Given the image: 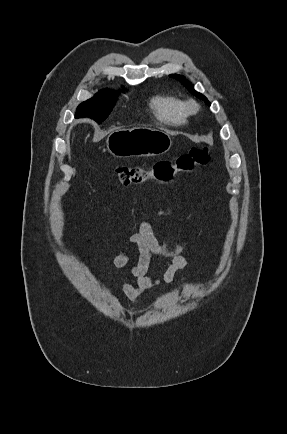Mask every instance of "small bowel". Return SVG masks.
<instances>
[{"label":"small bowel","mask_w":287,"mask_h":434,"mask_svg":"<svg viewBox=\"0 0 287 434\" xmlns=\"http://www.w3.org/2000/svg\"><path fill=\"white\" fill-rule=\"evenodd\" d=\"M160 217H171L178 214L172 206H154ZM131 250H137L139 257L136 262L131 261V252H124L112 259L111 264L116 269H124L123 292L130 301H135L146 290L171 283L176 275L186 266L184 251L188 240L183 239L177 243H159L151 233L149 223L142 221L138 224V231H128ZM165 257L171 259V264L162 277L154 278L146 275L148 264L152 257Z\"/></svg>","instance_id":"obj_1"}]
</instances>
